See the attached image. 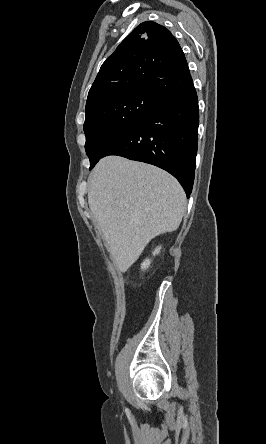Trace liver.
Instances as JSON below:
<instances>
[{"mask_svg":"<svg viewBox=\"0 0 266 444\" xmlns=\"http://www.w3.org/2000/svg\"><path fill=\"white\" fill-rule=\"evenodd\" d=\"M88 203L121 272L154 237L175 231L186 196L179 182L155 166L119 156L102 158L89 177Z\"/></svg>","mask_w":266,"mask_h":444,"instance_id":"obj_1","label":"liver"}]
</instances>
